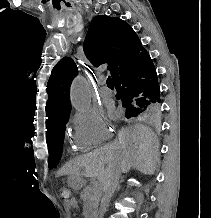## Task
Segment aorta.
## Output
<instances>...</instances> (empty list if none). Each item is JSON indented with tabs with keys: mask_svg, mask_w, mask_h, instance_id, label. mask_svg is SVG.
<instances>
[{
	"mask_svg": "<svg viewBox=\"0 0 211 218\" xmlns=\"http://www.w3.org/2000/svg\"><path fill=\"white\" fill-rule=\"evenodd\" d=\"M70 98L72 106L78 111H85L90 107V91L83 76L80 75L73 81Z\"/></svg>",
	"mask_w": 211,
	"mask_h": 218,
	"instance_id": "obj_1",
	"label": "aorta"
}]
</instances>
